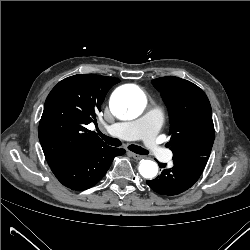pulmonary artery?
Listing matches in <instances>:
<instances>
[{"mask_svg": "<svg viewBox=\"0 0 250 250\" xmlns=\"http://www.w3.org/2000/svg\"><path fill=\"white\" fill-rule=\"evenodd\" d=\"M162 115L159 110L150 111L143 119L130 123H116L109 127L110 132L129 140H142L150 154L162 161H170L172 154L169 150L158 145L154 135L161 126Z\"/></svg>", "mask_w": 250, "mask_h": 250, "instance_id": "pulmonary-artery-1", "label": "pulmonary artery"}]
</instances>
